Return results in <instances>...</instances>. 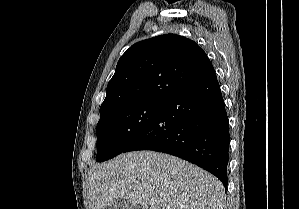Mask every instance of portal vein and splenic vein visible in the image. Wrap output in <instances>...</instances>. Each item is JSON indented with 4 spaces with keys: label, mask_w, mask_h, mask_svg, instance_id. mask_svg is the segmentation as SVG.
<instances>
[{
    "label": "portal vein and splenic vein",
    "mask_w": 299,
    "mask_h": 209,
    "mask_svg": "<svg viewBox=\"0 0 299 209\" xmlns=\"http://www.w3.org/2000/svg\"><path fill=\"white\" fill-rule=\"evenodd\" d=\"M150 205H151V206H154V205H155V202H154V201H150Z\"/></svg>",
    "instance_id": "obj_1"
}]
</instances>
